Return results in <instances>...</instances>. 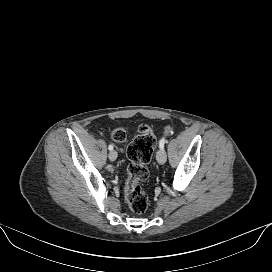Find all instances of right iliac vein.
<instances>
[{"instance_id": "obj_1", "label": "right iliac vein", "mask_w": 272, "mask_h": 272, "mask_svg": "<svg viewBox=\"0 0 272 272\" xmlns=\"http://www.w3.org/2000/svg\"><path fill=\"white\" fill-rule=\"evenodd\" d=\"M109 159L111 161H115L117 159V152L115 150H111L109 152Z\"/></svg>"}]
</instances>
